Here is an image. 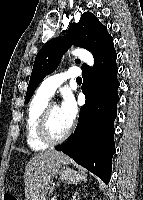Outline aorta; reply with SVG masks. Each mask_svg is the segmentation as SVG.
<instances>
[{
  "label": "aorta",
  "instance_id": "762f6f07",
  "mask_svg": "<svg viewBox=\"0 0 143 200\" xmlns=\"http://www.w3.org/2000/svg\"><path fill=\"white\" fill-rule=\"evenodd\" d=\"M69 54H72L78 58H80L83 62L87 63L90 66H93L94 64V58L92 54L83 48H76L69 52Z\"/></svg>",
  "mask_w": 143,
  "mask_h": 200
}]
</instances>
